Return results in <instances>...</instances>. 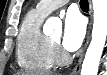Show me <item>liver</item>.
Wrapping results in <instances>:
<instances>
[{
  "mask_svg": "<svg viewBox=\"0 0 107 75\" xmlns=\"http://www.w3.org/2000/svg\"><path fill=\"white\" fill-rule=\"evenodd\" d=\"M15 75H25L24 73L18 72Z\"/></svg>",
  "mask_w": 107,
  "mask_h": 75,
  "instance_id": "obj_1",
  "label": "liver"
}]
</instances>
